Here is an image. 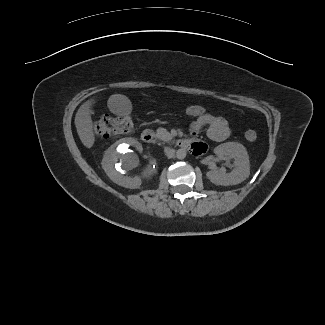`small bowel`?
Instances as JSON below:
<instances>
[{
  "label": "small bowel",
  "mask_w": 325,
  "mask_h": 325,
  "mask_svg": "<svg viewBox=\"0 0 325 325\" xmlns=\"http://www.w3.org/2000/svg\"><path fill=\"white\" fill-rule=\"evenodd\" d=\"M206 130L207 136L215 141H223L230 135V128L224 117L210 115L207 118H194L190 125V133L197 136L201 131ZM193 155H201L206 152L207 145L204 142H193L190 146Z\"/></svg>",
  "instance_id": "obj_1"
}]
</instances>
